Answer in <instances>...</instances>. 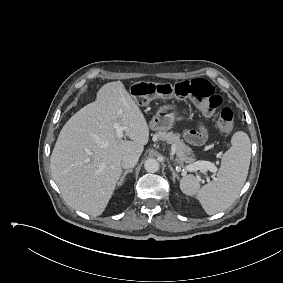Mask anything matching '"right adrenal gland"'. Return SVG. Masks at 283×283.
I'll return each mask as SVG.
<instances>
[{"label":"right adrenal gland","mask_w":283,"mask_h":283,"mask_svg":"<svg viewBox=\"0 0 283 283\" xmlns=\"http://www.w3.org/2000/svg\"><path fill=\"white\" fill-rule=\"evenodd\" d=\"M131 172H133V170H132V169H129V170H126V171L123 173V175L121 176V178H120V180H119V182H118V186H120V185L123 183L125 176H126L128 173H131Z\"/></svg>","instance_id":"obj_1"}]
</instances>
